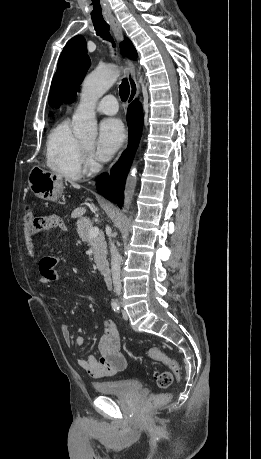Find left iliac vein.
Returning <instances> with one entry per match:
<instances>
[{
    "label": "left iliac vein",
    "mask_w": 261,
    "mask_h": 459,
    "mask_svg": "<svg viewBox=\"0 0 261 459\" xmlns=\"http://www.w3.org/2000/svg\"><path fill=\"white\" fill-rule=\"evenodd\" d=\"M122 316H123V318H124L125 320H128V318H129L128 313H127L126 310H123V311H122Z\"/></svg>",
    "instance_id": "obj_1"
}]
</instances>
